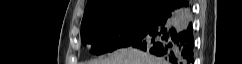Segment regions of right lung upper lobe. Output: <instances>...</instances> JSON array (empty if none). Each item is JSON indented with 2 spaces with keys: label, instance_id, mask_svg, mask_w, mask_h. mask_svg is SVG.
<instances>
[{
  "label": "right lung upper lobe",
  "instance_id": "1",
  "mask_svg": "<svg viewBox=\"0 0 242 64\" xmlns=\"http://www.w3.org/2000/svg\"><path fill=\"white\" fill-rule=\"evenodd\" d=\"M169 0H88L82 23L98 16L131 9L162 11Z\"/></svg>",
  "mask_w": 242,
  "mask_h": 64
}]
</instances>
